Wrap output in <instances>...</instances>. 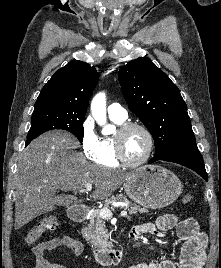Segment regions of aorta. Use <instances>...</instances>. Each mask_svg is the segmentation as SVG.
Returning <instances> with one entry per match:
<instances>
[{
  "instance_id": "aorta-1",
  "label": "aorta",
  "mask_w": 221,
  "mask_h": 268,
  "mask_svg": "<svg viewBox=\"0 0 221 268\" xmlns=\"http://www.w3.org/2000/svg\"><path fill=\"white\" fill-rule=\"evenodd\" d=\"M91 113L96 120L97 124L103 127L105 133L114 131V126L107 124L106 119V95L100 92L95 95L91 102Z\"/></svg>"
}]
</instances>
